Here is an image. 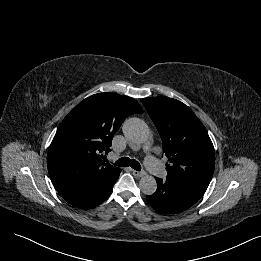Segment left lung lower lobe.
<instances>
[{"label":"left lung lower lobe","mask_w":261,"mask_h":261,"mask_svg":"<svg viewBox=\"0 0 261 261\" xmlns=\"http://www.w3.org/2000/svg\"><path fill=\"white\" fill-rule=\"evenodd\" d=\"M157 191L146 196L150 205L159 213L175 214L187 210L194 205L205 193L206 190L199 187L155 178Z\"/></svg>","instance_id":"left-lung-lower-lobe-1"}]
</instances>
